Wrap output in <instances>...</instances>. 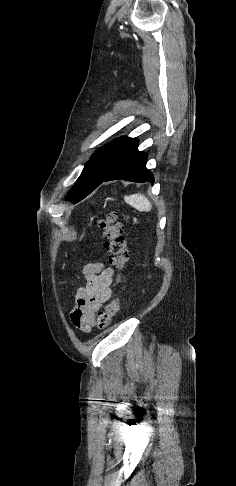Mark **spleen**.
Listing matches in <instances>:
<instances>
[{
    "instance_id": "obj_1",
    "label": "spleen",
    "mask_w": 236,
    "mask_h": 486,
    "mask_svg": "<svg viewBox=\"0 0 236 486\" xmlns=\"http://www.w3.org/2000/svg\"><path fill=\"white\" fill-rule=\"evenodd\" d=\"M124 200L127 204L134 207L138 211H150L152 209L151 202L142 194H132L130 196H125Z\"/></svg>"
}]
</instances>
